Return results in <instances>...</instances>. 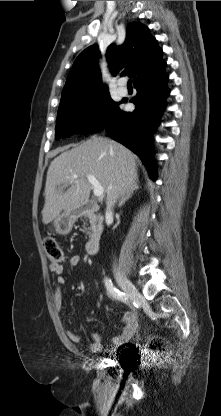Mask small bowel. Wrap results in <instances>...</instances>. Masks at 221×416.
<instances>
[{
    "label": "small bowel",
    "mask_w": 221,
    "mask_h": 416,
    "mask_svg": "<svg viewBox=\"0 0 221 416\" xmlns=\"http://www.w3.org/2000/svg\"><path fill=\"white\" fill-rule=\"evenodd\" d=\"M81 261V257L79 255H72L70 256L64 264H49L50 272L55 275L54 279V303L58 310H62L64 307V295H63V286L65 284V279L62 276L66 267L68 268H76ZM121 321L125 324V327L122 333L116 336L113 339V349L122 347L130 342L133 336L136 333L137 329V318L131 312H126L122 315ZM68 337L72 342H79L80 336L78 333L69 331ZM91 341L87 345V349L91 353H99L102 351V343H101V335L97 331L91 332Z\"/></svg>",
    "instance_id": "obj_1"
}]
</instances>
